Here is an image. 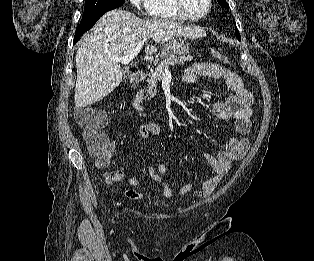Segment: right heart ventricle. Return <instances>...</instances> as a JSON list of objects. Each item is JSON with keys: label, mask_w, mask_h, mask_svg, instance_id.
Returning a JSON list of instances; mask_svg holds the SVG:
<instances>
[{"label": "right heart ventricle", "mask_w": 314, "mask_h": 261, "mask_svg": "<svg viewBox=\"0 0 314 261\" xmlns=\"http://www.w3.org/2000/svg\"><path fill=\"white\" fill-rule=\"evenodd\" d=\"M147 12L152 17L170 18L189 21L187 17L175 4L174 0H149Z\"/></svg>", "instance_id": "right-heart-ventricle-1"}]
</instances>
